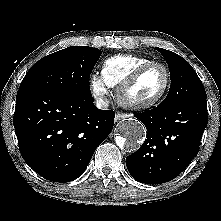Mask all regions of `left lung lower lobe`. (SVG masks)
<instances>
[{"label":"left lung lower lobe","mask_w":221,"mask_h":221,"mask_svg":"<svg viewBox=\"0 0 221 221\" xmlns=\"http://www.w3.org/2000/svg\"><path fill=\"white\" fill-rule=\"evenodd\" d=\"M147 128V139L126 158L131 176L145 184L176 178L197 155L207 126L206 98H192L174 105L135 114Z\"/></svg>","instance_id":"left-lung-lower-lobe-1"}]
</instances>
